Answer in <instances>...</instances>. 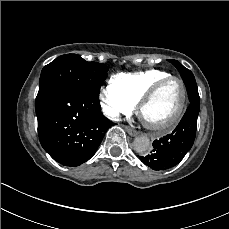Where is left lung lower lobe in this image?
<instances>
[{
  "label": "left lung lower lobe",
  "mask_w": 229,
  "mask_h": 229,
  "mask_svg": "<svg viewBox=\"0 0 229 229\" xmlns=\"http://www.w3.org/2000/svg\"><path fill=\"white\" fill-rule=\"evenodd\" d=\"M190 104L174 131L153 142L151 154L141 161L154 170H166L176 166L191 149L196 136L200 98L194 76L183 79Z\"/></svg>",
  "instance_id": "left-lung-lower-lobe-1"
}]
</instances>
